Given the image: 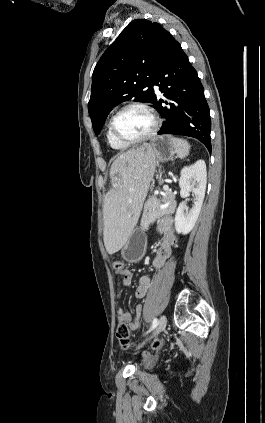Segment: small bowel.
<instances>
[{"mask_svg":"<svg viewBox=\"0 0 265 423\" xmlns=\"http://www.w3.org/2000/svg\"><path fill=\"white\" fill-rule=\"evenodd\" d=\"M158 231L162 236V241L155 258L153 259V267L156 269H160L164 266L165 262L172 256V250L177 243L176 233L171 217H164L161 219L158 224ZM117 273L122 277L123 285L129 286L132 280L131 271L124 267L122 271H117ZM149 285L150 278L148 276L140 277L135 290V296L138 299H143L147 294ZM142 312V306L137 305L134 315H131L123 310H119L117 312V318L119 322L128 323L129 326L135 330L139 327L138 319Z\"/></svg>","mask_w":265,"mask_h":423,"instance_id":"obj_1","label":"small bowel"}]
</instances>
